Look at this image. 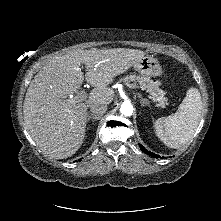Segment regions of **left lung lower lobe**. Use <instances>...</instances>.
I'll use <instances>...</instances> for the list:
<instances>
[{
	"instance_id": "0a47b994",
	"label": "left lung lower lobe",
	"mask_w": 221,
	"mask_h": 221,
	"mask_svg": "<svg viewBox=\"0 0 221 221\" xmlns=\"http://www.w3.org/2000/svg\"><path fill=\"white\" fill-rule=\"evenodd\" d=\"M140 149H141L142 152L146 153V154L149 155V156H152V157H155V158H160L159 155H156V154H154V153L148 151V150L145 149L142 145H140Z\"/></svg>"
}]
</instances>
